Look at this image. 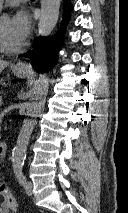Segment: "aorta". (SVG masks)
Listing matches in <instances>:
<instances>
[{
    "label": "aorta",
    "instance_id": "obj_1",
    "mask_svg": "<svg viewBox=\"0 0 128 213\" xmlns=\"http://www.w3.org/2000/svg\"><path fill=\"white\" fill-rule=\"evenodd\" d=\"M60 3L61 0H41V13L38 23V32L41 36L50 35L55 28L59 17ZM48 87V79L45 75H41L33 88L32 98L26 105L27 117L23 120L16 145L12 151L13 168H19L24 165L30 137L36 125L35 117L42 109L40 100L47 94Z\"/></svg>",
    "mask_w": 128,
    "mask_h": 213
}]
</instances>
